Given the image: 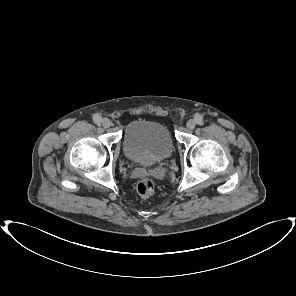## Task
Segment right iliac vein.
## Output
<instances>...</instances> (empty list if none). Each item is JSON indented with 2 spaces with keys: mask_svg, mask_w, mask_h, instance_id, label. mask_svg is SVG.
<instances>
[{
  "mask_svg": "<svg viewBox=\"0 0 296 296\" xmlns=\"http://www.w3.org/2000/svg\"><path fill=\"white\" fill-rule=\"evenodd\" d=\"M102 126L104 128H109L111 126V121L108 118H104L102 119Z\"/></svg>",
  "mask_w": 296,
  "mask_h": 296,
  "instance_id": "1",
  "label": "right iliac vein"
}]
</instances>
